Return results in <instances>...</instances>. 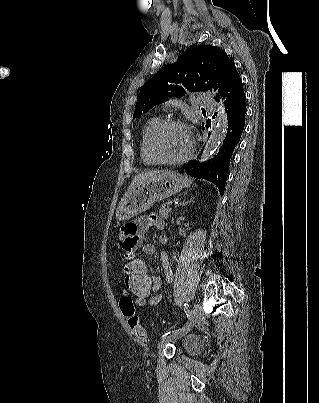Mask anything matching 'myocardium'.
Returning a JSON list of instances; mask_svg holds the SVG:
<instances>
[{"label": "myocardium", "mask_w": 319, "mask_h": 403, "mask_svg": "<svg viewBox=\"0 0 319 403\" xmlns=\"http://www.w3.org/2000/svg\"><path fill=\"white\" fill-rule=\"evenodd\" d=\"M174 125L183 127L188 132L189 138H190V145H189L188 151L186 152V154L184 156L177 158V159H166V158H163L162 156H160V154L158 153V151L156 149V141H157L159 134L165 128H167L169 126H174ZM148 148H149V152H150L151 156L158 163L175 165V164H182V163L188 161L192 157V155L194 153V149H195V143H194V139H193L191 130L184 121H182L181 119H177V118H167V119L162 120L152 131V133L149 137Z\"/></svg>", "instance_id": "1"}]
</instances>
